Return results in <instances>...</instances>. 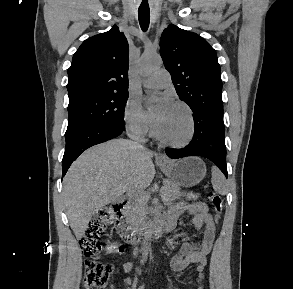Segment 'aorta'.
I'll return each mask as SVG.
<instances>
[{"label":"aorta","mask_w":293,"mask_h":289,"mask_svg":"<svg viewBox=\"0 0 293 289\" xmlns=\"http://www.w3.org/2000/svg\"><path fill=\"white\" fill-rule=\"evenodd\" d=\"M161 64H162V60L158 55L145 54L141 58L140 71L143 74H150L151 72L159 69ZM152 234H153V226H152V223L150 222L146 228L144 242H143V250L145 254L148 253Z\"/></svg>","instance_id":"1"}]
</instances>
